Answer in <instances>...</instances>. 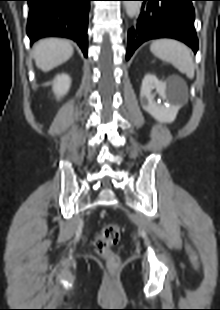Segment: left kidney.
<instances>
[{
	"mask_svg": "<svg viewBox=\"0 0 220 310\" xmlns=\"http://www.w3.org/2000/svg\"><path fill=\"white\" fill-rule=\"evenodd\" d=\"M154 89L162 99H166V83L159 81L155 75H145L140 94L143 109L161 123H172L176 118L178 109L172 105L167 107L157 103L155 94L152 93Z\"/></svg>",
	"mask_w": 220,
	"mask_h": 310,
	"instance_id": "5707ae66",
	"label": "left kidney"
}]
</instances>
